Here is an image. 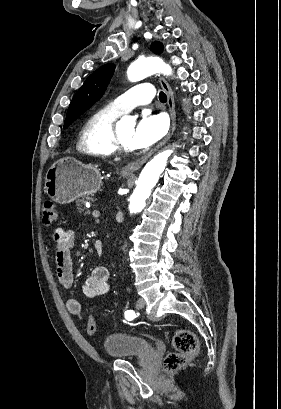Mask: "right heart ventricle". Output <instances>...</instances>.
Wrapping results in <instances>:
<instances>
[{
	"label": "right heart ventricle",
	"instance_id": "obj_1",
	"mask_svg": "<svg viewBox=\"0 0 281 409\" xmlns=\"http://www.w3.org/2000/svg\"><path fill=\"white\" fill-rule=\"evenodd\" d=\"M119 113L110 108H101L92 113L85 122L82 130V149L95 158L112 156L108 146V137L111 126Z\"/></svg>",
	"mask_w": 281,
	"mask_h": 409
}]
</instances>
